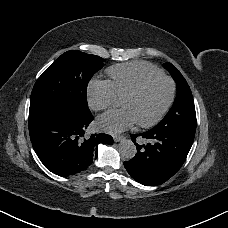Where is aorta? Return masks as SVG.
Segmentation results:
<instances>
[{"label": "aorta", "instance_id": "762f6f07", "mask_svg": "<svg viewBox=\"0 0 228 228\" xmlns=\"http://www.w3.org/2000/svg\"><path fill=\"white\" fill-rule=\"evenodd\" d=\"M119 152L124 159L130 160L136 155L137 149L131 140L125 139L119 144Z\"/></svg>", "mask_w": 228, "mask_h": 228}]
</instances>
